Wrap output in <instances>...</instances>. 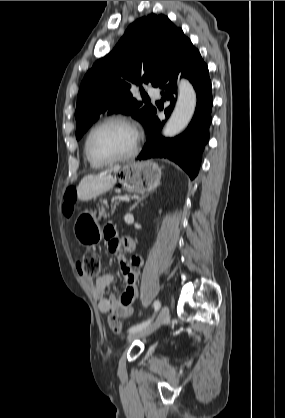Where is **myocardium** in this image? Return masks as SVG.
<instances>
[{"instance_id":"1","label":"myocardium","mask_w":285,"mask_h":418,"mask_svg":"<svg viewBox=\"0 0 285 418\" xmlns=\"http://www.w3.org/2000/svg\"><path fill=\"white\" fill-rule=\"evenodd\" d=\"M109 124H120V125H124L126 127H129L130 129H132L135 133L134 146H133V148L130 152H128L125 155L119 156V157H112V158L96 157L90 149L91 138L97 130H99L100 128H102L106 125H109ZM139 145H140V137H139V133H138L137 129L135 128V126L129 120H127L123 117L114 116V117H109V118L101 120L89 131V133H88V135L85 139L84 151H85V155H86L87 159L90 162H92L94 164H97V165L104 166V165L115 164V163L127 161V160L133 158L138 153Z\"/></svg>"}]
</instances>
